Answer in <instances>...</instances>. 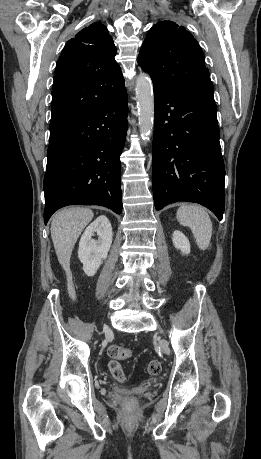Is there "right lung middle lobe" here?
<instances>
[{"mask_svg": "<svg viewBox=\"0 0 261 459\" xmlns=\"http://www.w3.org/2000/svg\"><path fill=\"white\" fill-rule=\"evenodd\" d=\"M66 125H55V126H50V137L54 136L58 132H60L63 128H65Z\"/></svg>", "mask_w": 261, "mask_h": 459, "instance_id": "obj_1", "label": "right lung middle lobe"}]
</instances>
